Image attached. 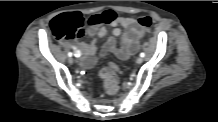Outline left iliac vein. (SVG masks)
Segmentation results:
<instances>
[{
  "label": "left iliac vein",
  "mask_w": 218,
  "mask_h": 122,
  "mask_svg": "<svg viewBox=\"0 0 218 122\" xmlns=\"http://www.w3.org/2000/svg\"><path fill=\"white\" fill-rule=\"evenodd\" d=\"M142 62H143L142 57H138V58L136 59V63H137V64H141Z\"/></svg>",
  "instance_id": "1"
}]
</instances>
